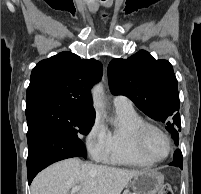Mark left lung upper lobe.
Here are the masks:
<instances>
[{
	"mask_svg": "<svg viewBox=\"0 0 201 194\" xmlns=\"http://www.w3.org/2000/svg\"><path fill=\"white\" fill-rule=\"evenodd\" d=\"M110 90L125 95L149 117L162 122L172 134L179 136V94L172 65L155 60L140 50L127 59H113L108 66Z\"/></svg>",
	"mask_w": 201,
	"mask_h": 194,
	"instance_id": "left-lung-upper-lobe-1",
	"label": "left lung upper lobe"
}]
</instances>
